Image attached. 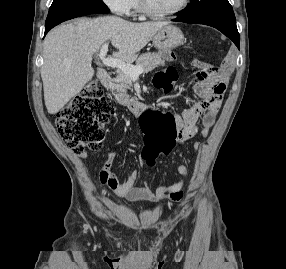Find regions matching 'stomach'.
<instances>
[{
    "mask_svg": "<svg viewBox=\"0 0 286 269\" xmlns=\"http://www.w3.org/2000/svg\"><path fill=\"white\" fill-rule=\"evenodd\" d=\"M183 40L184 35L178 27L166 25L155 34L153 44L157 49H175Z\"/></svg>",
    "mask_w": 286,
    "mask_h": 269,
    "instance_id": "stomach-1",
    "label": "stomach"
}]
</instances>
